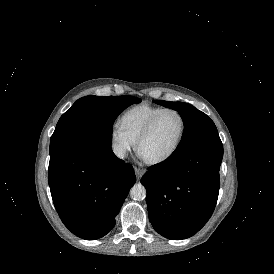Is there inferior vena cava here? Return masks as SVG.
<instances>
[{"mask_svg":"<svg viewBox=\"0 0 274 274\" xmlns=\"http://www.w3.org/2000/svg\"><path fill=\"white\" fill-rule=\"evenodd\" d=\"M113 151H114L115 155L121 159H123L126 155V150L122 147H115Z\"/></svg>","mask_w":274,"mask_h":274,"instance_id":"inferior-vena-cava-1","label":"inferior vena cava"}]
</instances>
